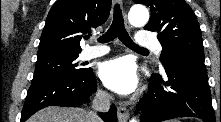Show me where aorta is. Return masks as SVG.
I'll list each match as a JSON object with an SVG mask.
<instances>
[{
  "instance_id": "obj_1",
  "label": "aorta",
  "mask_w": 221,
  "mask_h": 122,
  "mask_svg": "<svg viewBox=\"0 0 221 122\" xmlns=\"http://www.w3.org/2000/svg\"><path fill=\"white\" fill-rule=\"evenodd\" d=\"M129 22L136 27H142L147 24L149 20V12L144 5H133L128 14ZM130 122H137L132 119Z\"/></svg>"
}]
</instances>
